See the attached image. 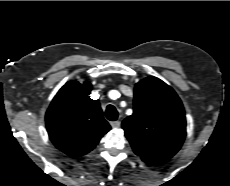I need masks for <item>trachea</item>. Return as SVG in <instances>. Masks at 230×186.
Returning <instances> with one entry per match:
<instances>
[{
	"mask_svg": "<svg viewBox=\"0 0 230 186\" xmlns=\"http://www.w3.org/2000/svg\"><path fill=\"white\" fill-rule=\"evenodd\" d=\"M106 117L110 121H115L118 118V112L113 105H108L106 108Z\"/></svg>",
	"mask_w": 230,
	"mask_h": 186,
	"instance_id": "1",
	"label": "trachea"
}]
</instances>
